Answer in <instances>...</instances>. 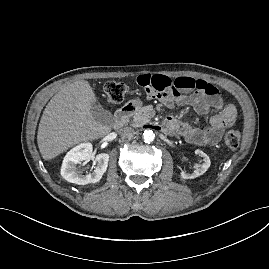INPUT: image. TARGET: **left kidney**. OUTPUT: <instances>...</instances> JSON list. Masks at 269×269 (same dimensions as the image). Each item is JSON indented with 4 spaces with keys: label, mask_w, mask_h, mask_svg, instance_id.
I'll return each instance as SVG.
<instances>
[{
    "label": "left kidney",
    "mask_w": 269,
    "mask_h": 269,
    "mask_svg": "<svg viewBox=\"0 0 269 269\" xmlns=\"http://www.w3.org/2000/svg\"><path fill=\"white\" fill-rule=\"evenodd\" d=\"M195 154L198 155L199 157L203 158L204 163L202 165H199L193 173H187L185 171H182L180 173L181 178L183 179H194L202 174H204L208 168L211 165L210 158L208 157L207 154H205L203 151L197 149L195 150Z\"/></svg>",
    "instance_id": "1"
}]
</instances>
